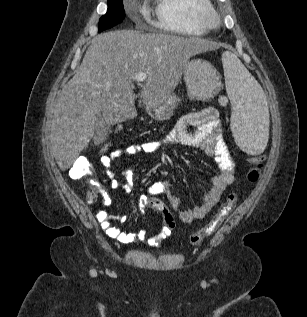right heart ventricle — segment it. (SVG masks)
Instances as JSON below:
<instances>
[{
    "label": "right heart ventricle",
    "instance_id": "e07e8e85",
    "mask_svg": "<svg viewBox=\"0 0 307 317\" xmlns=\"http://www.w3.org/2000/svg\"><path fill=\"white\" fill-rule=\"evenodd\" d=\"M210 0H155L156 26L183 35H204L199 13Z\"/></svg>",
    "mask_w": 307,
    "mask_h": 317
}]
</instances>
